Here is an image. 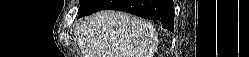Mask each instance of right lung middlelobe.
Returning <instances> with one entry per match:
<instances>
[{"label":"right lung middle lobe","mask_w":249,"mask_h":57,"mask_svg":"<svg viewBox=\"0 0 249 57\" xmlns=\"http://www.w3.org/2000/svg\"><path fill=\"white\" fill-rule=\"evenodd\" d=\"M90 2H91V0H80V10L84 9L85 7H87Z\"/></svg>","instance_id":"obj_1"}]
</instances>
